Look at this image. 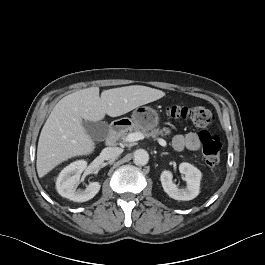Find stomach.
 <instances>
[{
	"label": "stomach",
	"instance_id": "stomach-1",
	"mask_svg": "<svg viewBox=\"0 0 265 265\" xmlns=\"http://www.w3.org/2000/svg\"><path fill=\"white\" fill-rule=\"evenodd\" d=\"M122 121L130 127H138L141 130H152L159 123V116L155 109L148 106L137 107L130 119L124 118Z\"/></svg>",
	"mask_w": 265,
	"mask_h": 265
}]
</instances>
